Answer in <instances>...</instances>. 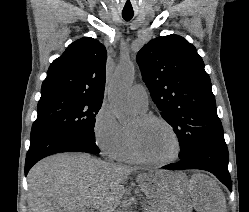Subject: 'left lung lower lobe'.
<instances>
[{
  "mask_svg": "<svg viewBox=\"0 0 249 212\" xmlns=\"http://www.w3.org/2000/svg\"><path fill=\"white\" fill-rule=\"evenodd\" d=\"M176 164L163 166L168 170L201 169L213 173L229 190L231 179L228 171V148L224 136L206 139L197 143Z\"/></svg>",
  "mask_w": 249,
  "mask_h": 212,
  "instance_id": "obj_1",
  "label": "left lung lower lobe"
}]
</instances>
